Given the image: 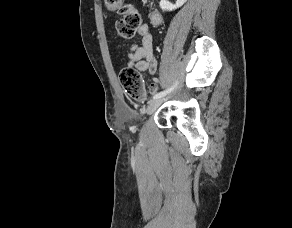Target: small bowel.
<instances>
[{
	"mask_svg": "<svg viewBox=\"0 0 292 228\" xmlns=\"http://www.w3.org/2000/svg\"><path fill=\"white\" fill-rule=\"evenodd\" d=\"M140 45L132 43L129 45V54L127 67H134L139 72L148 71L151 75H155L157 71V60L153 52V36L150 26L144 24L138 30ZM159 89L158 83L153 82L149 90L151 93H156Z\"/></svg>",
	"mask_w": 292,
	"mask_h": 228,
	"instance_id": "obj_1",
	"label": "small bowel"
}]
</instances>
